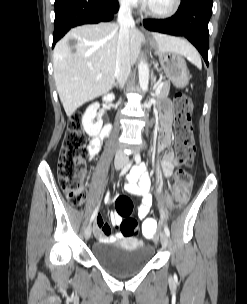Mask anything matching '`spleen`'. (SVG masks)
I'll return each mask as SVG.
<instances>
[{"instance_id": "3e777b00", "label": "spleen", "mask_w": 247, "mask_h": 304, "mask_svg": "<svg viewBox=\"0 0 247 304\" xmlns=\"http://www.w3.org/2000/svg\"><path fill=\"white\" fill-rule=\"evenodd\" d=\"M189 60L196 65L198 68H201L202 64H201V59L199 57V55H193L191 57H189Z\"/></svg>"}]
</instances>
